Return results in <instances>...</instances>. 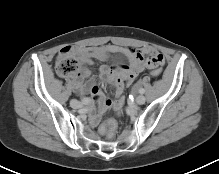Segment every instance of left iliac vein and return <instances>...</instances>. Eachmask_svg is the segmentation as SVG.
Masks as SVG:
<instances>
[{
	"label": "left iliac vein",
	"instance_id": "obj_1",
	"mask_svg": "<svg viewBox=\"0 0 219 174\" xmlns=\"http://www.w3.org/2000/svg\"><path fill=\"white\" fill-rule=\"evenodd\" d=\"M145 101H146V98H145V96H143V95H138V96L136 97V99H135V102H136V104H138V105L144 104Z\"/></svg>",
	"mask_w": 219,
	"mask_h": 174
}]
</instances>
